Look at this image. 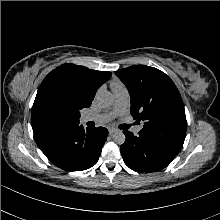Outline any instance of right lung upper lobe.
Masks as SVG:
<instances>
[{
    "instance_id": "obj_1",
    "label": "right lung upper lobe",
    "mask_w": 220,
    "mask_h": 220,
    "mask_svg": "<svg viewBox=\"0 0 220 220\" xmlns=\"http://www.w3.org/2000/svg\"><path fill=\"white\" fill-rule=\"evenodd\" d=\"M108 71L63 64L42 81L31 114L34 133L79 125L80 110L88 108L97 89L110 79Z\"/></svg>"
}]
</instances>
